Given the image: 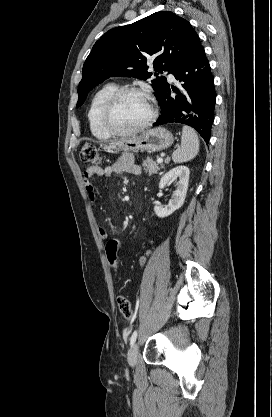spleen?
<instances>
[{
    "mask_svg": "<svg viewBox=\"0 0 272 417\" xmlns=\"http://www.w3.org/2000/svg\"><path fill=\"white\" fill-rule=\"evenodd\" d=\"M199 152V138L194 129L183 126L181 146L172 154L174 163H184L192 160Z\"/></svg>",
    "mask_w": 272,
    "mask_h": 417,
    "instance_id": "spleen-1",
    "label": "spleen"
}]
</instances>
